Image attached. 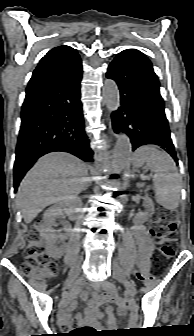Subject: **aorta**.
<instances>
[{
	"label": "aorta",
	"instance_id": "1",
	"mask_svg": "<svg viewBox=\"0 0 194 336\" xmlns=\"http://www.w3.org/2000/svg\"><path fill=\"white\" fill-rule=\"evenodd\" d=\"M102 96L107 109L115 112L120 106V95L117 84L113 80H106L102 89ZM132 151L129 137L120 133L113 150L111 169L113 172H121L128 165Z\"/></svg>",
	"mask_w": 194,
	"mask_h": 336
}]
</instances>
